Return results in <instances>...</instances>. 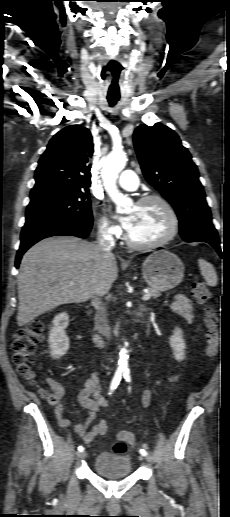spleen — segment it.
I'll list each match as a JSON object with an SVG mask.
<instances>
[{"mask_svg": "<svg viewBox=\"0 0 230 517\" xmlns=\"http://www.w3.org/2000/svg\"><path fill=\"white\" fill-rule=\"evenodd\" d=\"M198 263L206 283L212 287L216 286L218 279L213 265L204 259H199Z\"/></svg>", "mask_w": 230, "mask_h": 517, "instance_id": "spleen-1", "label": "spleen"}]
</instances>
